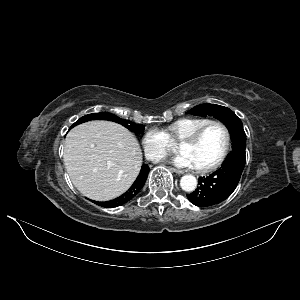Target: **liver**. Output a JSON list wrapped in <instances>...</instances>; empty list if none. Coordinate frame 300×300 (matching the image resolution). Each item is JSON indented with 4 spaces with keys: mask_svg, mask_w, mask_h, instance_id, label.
I'll list each match as a JSON object with an SVG mask.
<instances>
[{
    "mask_svg": "<svg viewBox=\"0 0 300 300\" xmlns=\"http://www.w3.org/2000/svg\"><path fill=\"white\" fill-rule=\"evenodd\" d=\"M63 160L72 183L83 195L108 201L135 181L142 152L125 127L110 121H89L68 133Z\"/></svg>",
    "mask_w": 300,
    "mask_h": 300,
    "instance_id": "1",
    "label": "liver"
}]
</instances>
